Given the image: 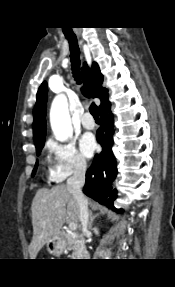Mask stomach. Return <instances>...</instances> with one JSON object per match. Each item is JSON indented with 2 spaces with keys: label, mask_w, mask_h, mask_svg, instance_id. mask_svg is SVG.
I'll use <instances>...</instances> for the list:
<instances>
[{
  "label": "stomach",
  "mask_w": 175,
  "mask_h": 287,
  "mask_svg": "<svg viewBox=\"0 0 175 287\" xmlns=\"http://www.w3.org/2000/svg\"><path fill=\"white\" fill-rule=\"evenodd\" d=\"M47 250L50 254L58 255L65 248V241L60 235H55L46 243Z\"/></svg>",
  "instance_id": "obj_1"
}]
</instances>
